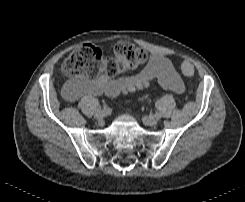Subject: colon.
Segmentation results:
<instances>
[{
	"label": "colon",
	"mask_w": 245,
	"mask_h": 202,
	"mask_svg": "<svg viewBox=\"0 0 245 202\" xmlns=\"http://www.w3.org/2000/svg\"><path fill=\"white\" fill-rule=\"evenodd\" d=\"M147 52L129 41H120L115 46L114 57L107 62L105 71L109 77H115L126 71L144 66L147 62ZM102 52L92 44H83L73 50L62 65V71L69 77L64 87V95L68 96L79 78H96L101 73ZM181 72L189 76L193 66L186 62Z\"/></svg>",
	"instance_id": "5ec220e1"
}]
</instances>
